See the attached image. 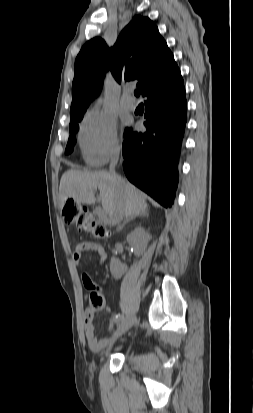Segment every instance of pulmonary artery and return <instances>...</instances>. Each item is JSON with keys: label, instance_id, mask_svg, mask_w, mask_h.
<instances>
[{"label": "pulmonary artery", "instance_id": "e3ab8cb5", "mask_svg": "<svg viewBox=\"0 0 253 413\" xmlns=\"http://www.w3.org/2000/svg\"><path fill=\"white\" fill-rule=\"evenodd\" d=\"M121 103L122 105L130 110H133L137 106V101L135 98L132 96V91L131 89H126L123 92L122 98H121Z\"/></svg>", "mask_w": 253, "mask_h": 413}]
</instances>
